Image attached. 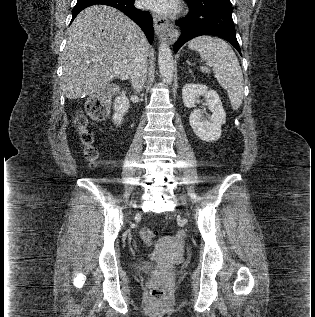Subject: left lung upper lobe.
<instances>
[{"label":"left lung upper lobe","mask_w":315,"mask_h":317,"mask_svg":"<svg viewBox=\"0 0 315 317\" xmlns=\"http://www.w3.org/2000/svg\"><path fill=\"white\" fill-rule=\"evenodd\" d=\"M187 3L212 4L222 8H232L230 0H185Z\"/></svg>","instance_id":"1"}]
</instances>
